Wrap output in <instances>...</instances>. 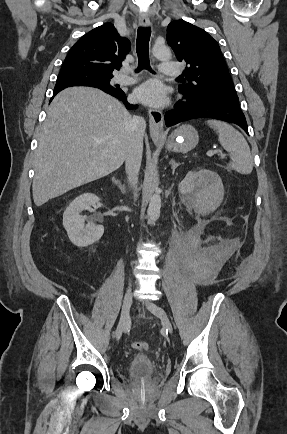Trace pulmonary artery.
Returning <instances> with one entry per match:
<instances>
[{"label": "pulmonary artery", "instance_id": "1", "mask_svg": "<svg viewBox=\"0 0 287 434\" xmlns=\"http://www.w3.org/2000/svg\"><path fill=\"white\" fill-rule=\"evenodd\" d=\"M129 70H124L116 77V81L120 84H130L136 80V77L128 75ZM160 73L165 76H178L181 73L179 65L175 63H161Z\"/></svg>", "mask_w": 287, "mask_h": 434}]
</instances>
